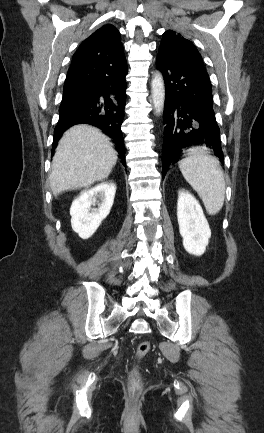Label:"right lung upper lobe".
I'll use <instances>...</instances> for the list:
<instances>
[{"label": "right lung upper lobe", "mask_w": 264, "mask_h": 433, "mask_svg": "<svg viewBox=\"0 0 264 433\" xmlns=\"http://www.w3.org/2000/svg\"><path fill=\"white\" fill-rule=\"evenodd\" d=\"M99 61L108 64H120L126 61L120 33L111 24L102 26L81 43L73 55L72 64Z\"/></svg>", "instance_id": "obj_1"}]
</instances>
